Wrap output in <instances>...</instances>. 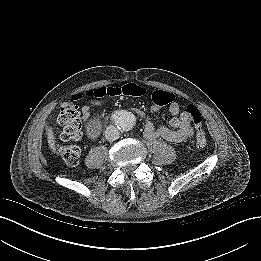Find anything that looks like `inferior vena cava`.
<instances>
[{
    "mask_svg": "<svg viewBox=\"0 0 261 261\" xmlns=\"http://www.w3.org/2000/svg\"><path fill=\"white\" fill-rule=\"evenodd\" d=\"M105 137L108 141L113 142L120 137L119 130L115 126H108L105 131Z\"/></svg>",
    "mask_w": 261,
    "mask_h": 261,
    "instance_id": "602c4592",
    "label": "inferior vena cava"
}]
</instances>
